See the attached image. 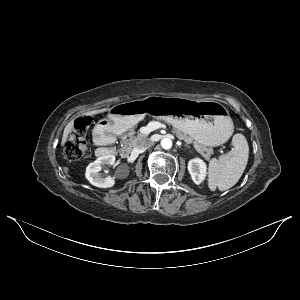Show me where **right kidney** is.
<instances>
[{
  "instance_id": "right-kidney-1",
  "label": "right kidney",
  "mask_w": 300,
  "mask_h": 300,
  "mask_svg": "<svg viewBox=\"0 0 300 300\" xmlns=\"http://www.w3.org/2000/svg\"><path fill=\"white\" fill-rule=\"evenodd\" d=\"M115 156L108 154L97 158L94 162L90 163L86 168V178L94 186L100 188H109L114 186L115 178L111 176L102 177L99 172L104 165H113Z\"/></svg>"
}]
</instances>
